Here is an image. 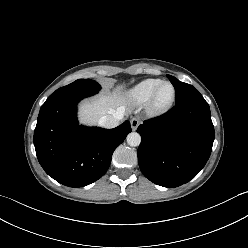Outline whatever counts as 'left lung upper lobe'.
<instances>
[{"label":"left lung upper lobe","instance_id":"5c2ea615","mask_svg":"<svg viewBox=\"0 0 248 248\" xmlns=\"http://www.w3.org/2000/svg\"><path fill=\"white\" fill-rule=\"evenodd\" d=\"M176 91V104L189 100L203 98L199 91L190 84L179 81L177 78L167 75Z\"/></svg>","mask_w":248,"mask_h":248}]
</instances>
